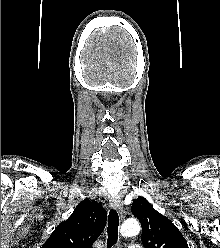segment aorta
I'll return each mask as SVG.
<instances>
[{"mask_svg":"<svg viewBox=\"0 0 220 248\" xmlns=\"http://www.w3.org/2000/svg\"><path fill=\"white\" fill-rule=\"evenodd\" d=\"M140 224L135 219H127L121 225L120 233L124 237H131L139 234Z\"/></svg>","mask_w":220,"mask_h":248,"instance_id":"aorta-1","label":"aorta"}]
</instances>
